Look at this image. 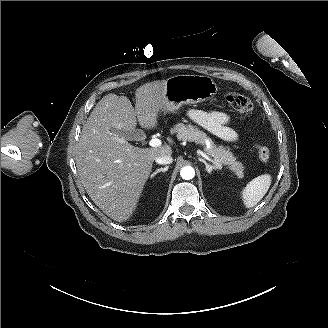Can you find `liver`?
<instances>
[{"label": "liver", "instance_id": "obj_1", "mask_svg": "<svg viewBox=\"0 0 328 328\" xmlns=\"http://www.w3.org/2000/svg\"><path fill=\"white\" fill-rule=\"evenodd\" d=\"M166 80L136 88L135 108L126 96L114 93L103 97L83 126L76 164L88 195L104 214L118 223L132 219L137 212L151 175L154 160L172 155L168 144L153 148L132 146L112 129L134 131L160 126Z\"/></svg>", "mask_w": 328, "mask_h": 328}]
</instances>
